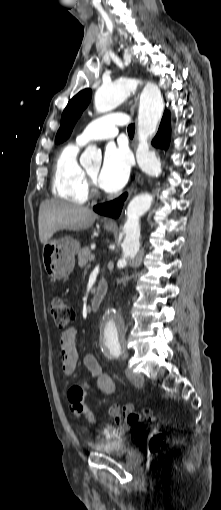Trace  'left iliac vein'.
<instances>
[{
  "instance_id": "left-iliac-vein-1",
  "label": "left iliac vein",
  "mask_w": 221,
  "mask_h": 510,
  "mask_svg": "<svg viewBox=\"0 0 221 510\" xmlns=\"http://www.w3.org/2000/svg\"><path fill=\"white\" fill-rule=\"evenodd\" d=\"M122 357H125V354L122 355ZM126 375L128 379L136 386H141L144 382V377L141 373L133 372L130 368H126Z\"/></svg>"
}]
</instances>
